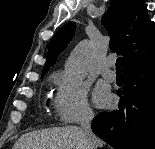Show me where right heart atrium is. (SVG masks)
<instances>
[{"label": "right heart atrium", "mask_w": 155, "mask_h": 149, "mask_svg": "<svg viewBox=\"0 0 155 149\" xmlns=\"http://www.w3.org/2000/svg\"><path fill=\"white\" fill-rule=\"evenodd\" d=\"M57 92L54 98L56 115L63 124L84 123L94 117L87 99V88L68 79L64 74L55 76Z\"/></svg>", "instance_id": "d8ad5b80"}]
</instances>
